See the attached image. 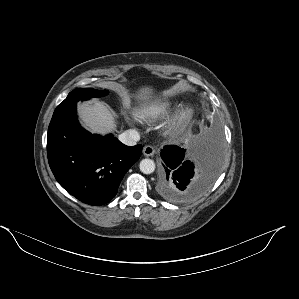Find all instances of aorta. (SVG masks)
Listing matches in <instances>:
<instances>
[{"instance_id":"obj_1","label":"aorta","mask_w":299,"mask_h":299,"mask_svg":"<svg viewBox=\"0 0 299 299\" xmlns=\"http://www.w3.org/2000/svg\"><path fill=\"white\" fill-rule=\"evenodd\" d=\"M140 171L144 174H151L155 170V163L151 159H143L139 165Z\"/></svg>"}]
</instances>
